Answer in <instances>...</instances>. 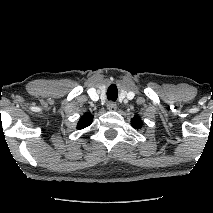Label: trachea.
Returning <instances> with one entry per match:
<instances>
[{
  "mask_svg": "<svg viewBox=\"0 0 213 213\" xmlns=\"http://www.w3.org/2000/svg\"><path fill=\"white\" fill-rule=\"evenodd\" d=\"M107 98L115 102L118 98V90L115 85H111L107 90Z\"/></svg>",
  "mask_w": 213,
  "mask_h": 213,
  "instance_id": "trachea-1",
  "label": "trachea"
}]
</instances>
